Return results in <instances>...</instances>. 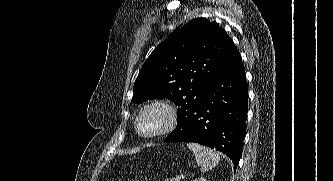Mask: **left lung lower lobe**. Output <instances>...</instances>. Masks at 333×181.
I'll list each match as a JSON object with an SVG mask.
<instances>
[{
    "label": "left lung lower lobe",
    "mask_w": 333,
    "mask_h": 181,
    "mask_svg": "<svg viewBox=\"0 0 333 181\" xmlns=\"http://www.w3.org/2000/svg\"><path fill=\"white\" fill-rule=\"evenodd\" d=\"M248 90L240 53L206 87L200 103L178 117L164 142H196L226 154L236 169L246 131Z\"/></svg>",
    "instance_id": "left-lung-lower-lobe-1"
}]
</instances>
